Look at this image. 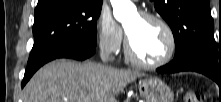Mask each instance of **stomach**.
<instances>
[{"mask_svg":"<svg viewBox=\"0 0 221 102\" xmlns=\"http://www.w3.org/2000/svg\"><path fill=\"white\" fill-rule=\"evenodd\" d=\"M140 95L146 102H173L174 93L159 78H148L139 82Z\"/></svg>","mask_w":221,"mask_h":102,"instance_id":"0dacf381","label":"stomach"}]
</instances>
